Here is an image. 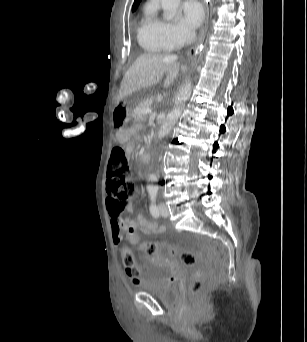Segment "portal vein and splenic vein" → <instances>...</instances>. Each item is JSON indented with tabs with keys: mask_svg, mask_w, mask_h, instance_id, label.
<instances>
[{
	"mask_svg": "<svg viewBox=\"0 0 307 342\" xmlns=\"http://www.w3.org/2000/svg\"><path fill=\"white\" fill-rule=\"evenodd\" d=\"M152 110L150 108H147V110H144V114H151Z\"/></svg>",
	"mask_w": 307,
	"mask_h": 342,
	"instance_id": "obj_1",
	"label": "portal vein and splenic vein"
}]
</instances>
